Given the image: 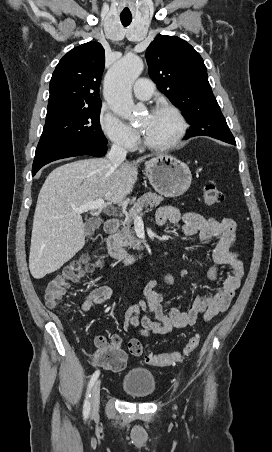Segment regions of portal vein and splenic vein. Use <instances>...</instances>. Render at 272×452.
Here are the masks:
<instances>
[{
	"label": "portal vein and splenic vein",
	"instance_id": "portal-vein-and-splenic-vein-1",
	"mask_svg": "<svg viewBox=\"0 0 272 452\" xmlns=\"http://www.w3.org/2000/svg\"><path fill=\"white\" fill-rule=\"evenodd\" d=\"M106 208H107V204L105 203L104 199L99 198L96 201L86 203L85 205H82L81 207L76 208L75 210L79 213H83V212H87L89 210H102V209H106ZM135 218L136 219L139 218V216L136 212H135Z\"/></svg>",
	"mask_w": 272,
	"mask_h": 452
}]
</instances>
